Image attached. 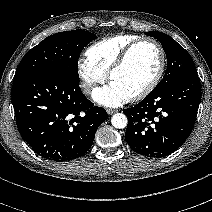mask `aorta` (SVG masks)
Listing matches in <instances>:
<instances>
[{
	"label": "aorta",
	"instance_id": "1",
	"mask_svg": "<svg viewBox=\"0 0 212 212\" xmlns=\"http://www.w3.org/2000/svg\"><path fill=\"white\" fill-rule=\"evenodd\" d=\"M111 123L115 128L123 129L127 126V117L122 113H116L111 118Z\"/></svg>",
	"mask_w": 212,
	"mask_h": 212
}]
</instances>
